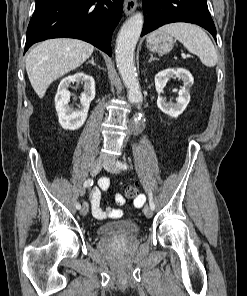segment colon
I'll list each match as a JSON object with an SVG mask.
<instances>
[{
  "instance_id": "5ec220e1",
  "label": "colon",
  "mask_w": 247,
  "mask_h": 296,
  "mask_svg": "<svg viewBox=\"0 0 247 296\" xmlns=\"http://www.w3.org/2000/svg\"><path fill=\"white\" fill-rule=\"evenodd\" d=\"M136 195H137V186L131 185L126 188L125 193H124V198L134 199L136 197Z\"/></svg>"
}]
</instances>
